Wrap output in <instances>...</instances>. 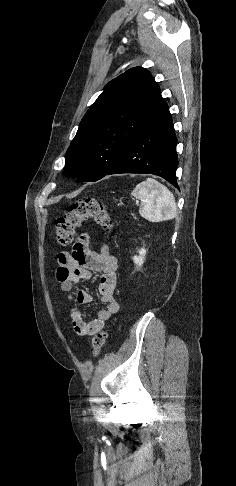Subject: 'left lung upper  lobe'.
<instances>
[{
  "label": "left lung upper lobe",
  "instance_id": "5c2ea615",
  "mask_svg": "<svg viewBox=\"0 0 236 486\" xmlns=\"http://www.w3.org/2000/svg\"><path fill=\"white\" fill-rule=\"evenodd\" d=\"M168 105L142 67L110 81L83 117L65 155L66 172L81 182L103 178L133 139Z\"/></svg>",
  "mask_w": 236,
  "mask_h": 486
}]
</instances>
